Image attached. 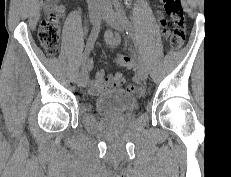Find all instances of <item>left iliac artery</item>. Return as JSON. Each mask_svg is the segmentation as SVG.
Masks as SVG:
<instances>
[{
    "mask_svg": "<svg viewBox=\"0 0 231 177\" xmlns=\"http://www.w3.org/2000/svg\"><path fill=\"white\" fill-rule=\"evenodd\" d=\"M119 10L122 12V17H123V21L126 27L127 34H129L131 38L133 39L132 41V46H133L132 50L134 51L133 55L136 57L139 63H142L143 59L140 56L139 47H138L139 41H136L134 28L131 22L129 21V19L127 18V16L125 15L124 11L120 8V5H119Z\"/></svg>",
    "mask_w": 231,
    "mask_h": 177,
    "instance_id": "1",
    "label": "left iliac artery"
}]
</instances>
